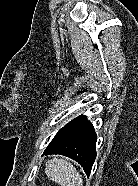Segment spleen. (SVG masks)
<instances>
[{
    "mask_svg": "<svg viewBox=\"0 0 138 186\" xmlns=\"http://www.w3.org/2000/svg\"><path fill=\"white\" fill-rule=\"evenodd\" d=\"M45 173L61 186H82L83 179L77 169L65 159L54 158L46 162Z\"/></svg>",
    "mask_w": 138,
    "mask_h": 186,
    "instance_id": "1",
    "label": "spleen"
}]
</instances>
